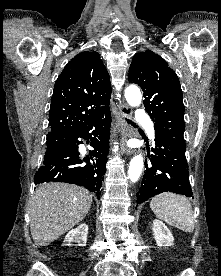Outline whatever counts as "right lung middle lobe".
<instances>
[{
  "mask_svg": "<svg viewBox=\"0 0 221 276\" xmlns=\"http://www.w3.org/2000/svg\"><path fill=\"white\" fill-rule=\"evenodd\" d=\"M71 140V136H47L46 144V152L64 148L68 145Z\"/></svg>",
  "mask_w": 221,
  "mask_h": 276,
  "instance_id": "dd1d6c3e",
  "label": "right lung middle lobe"
}]
</instances>
